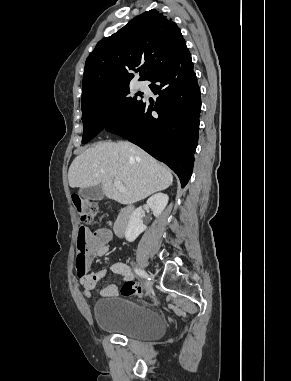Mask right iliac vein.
Segmentation results:
<instances>
[{
	"mask_svg": "<svg viewBox=\"0 0 291 381\" xmlns=\"http://www.w3.org/2000/svg\"><path fill=\"white\" fill-rule=\"evenodd\" d=\"M150 278L153 280V275L149 274ZM152 293V282H148L146 285V295H150Z\"/></svg>",
	"mask_w": 291,
	"mask_h": 381,
	"instance_id": "63e3f726",
	"label": "right iliac vein"
}]
</instances>
